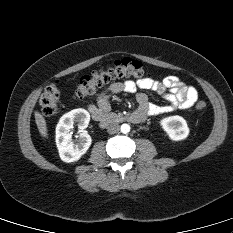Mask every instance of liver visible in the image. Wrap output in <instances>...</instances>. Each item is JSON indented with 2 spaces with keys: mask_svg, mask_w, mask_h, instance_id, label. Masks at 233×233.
Wrapping results in <instances>:
<instances>
[{
  "mask_svg": "<svg viewBox=\"0 0 233 233\" xmlns=\"http://www.w3.org/2000/svg\"><path fill=\"white\" fill-rule=\"evenodd\" d=\"M34 115H35V122L41 136L47 138L48 134H47V125L45 118L38 111H35Z\"/></svg>",
  "mask_w": 233,
  "mask_h": 233,
  "instance_id": "1",
  "label": "liver"
}]
</instances>
